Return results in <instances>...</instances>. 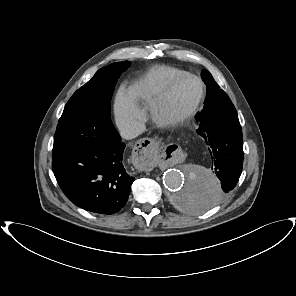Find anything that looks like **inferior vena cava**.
I'll return each mask as SVG.
<instances>
[{
	"label": "inferior vena cava",
	"mask_w": 296,
	"mask_h": 296,
	"mask_svg": "<svg viewBox=\"0 0 296 296\" xmlns=\"http://www.w3.org/2000/svg\"><path fill=\"white\" fill-rule=\"evenodd\" d=\"M145 130V126L140 122H133L120 129V135L124 139H133Z\"/></svg>",
	"instance_id": "1"
}]
</instances>
